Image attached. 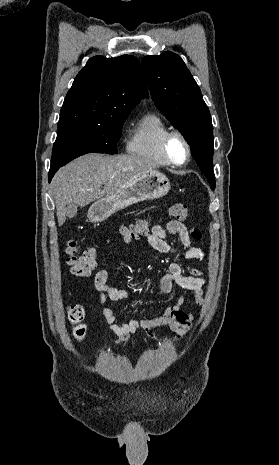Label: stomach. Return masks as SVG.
<instances>
[{
    "label": "stomach",
    "instance_id": "obj_1",
    "mask_svg": "<svg viewBox=\"0 0 279 465\" xmlns=\"http://www.w3.org/2000/svg\"><path fill=\"white\" fill-rule=\"evenodd\" d=\"M170 188L169 179L159 171L140 173L113 194L96 201L88 210V218L92 222H101L132 204L163 197Z\"/></svg>",
    "mask_w": 279,
    "mask_h": 465
}]
</instances>
